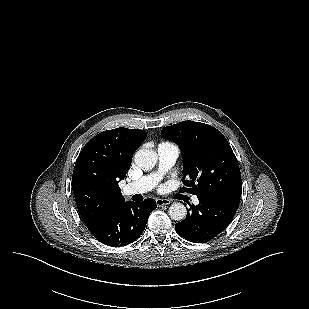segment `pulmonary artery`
<instances>
[{
  "label": "pulmonary artery",
  "instance_id": "1",
  "mask_svg": "<svg viewBox=\"0 0 309 309\" xmlns=\"http://www.w3.org/2000/svg\"><path fill=\"white\" fill-rule=\"evenodd\" d=\"M158 170L148 174L137 181L124 186L123 193L126 196L143 194L152 190L162 175L168 171L175 163L179 155V149L171 143H162L157 148ZM193 203L197 204L198 199L193 197Z\"/></svg>",
  "mask_w": 309,
  "mask_h": 309
}]
</instances>
